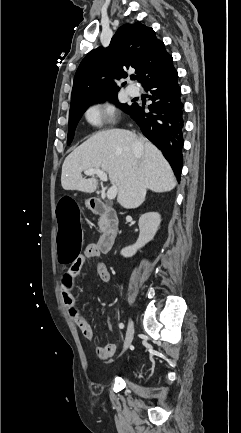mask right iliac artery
<instances>
[{"label": "right iliac artery", "instance_id": "1", "mask_svg": "<svg viewBox=\"0 0 241 433\" xmlns=\"http://www.w3.org/2000/svg\"><path fill=\"white\" fill-rule=\"evenodd\" d=\"M119 328H120V329H123V328H124V324H123V323H120V324H119Z\"/></svg>", "mask_w": 241, "mask_h": 433}]
</instances>
